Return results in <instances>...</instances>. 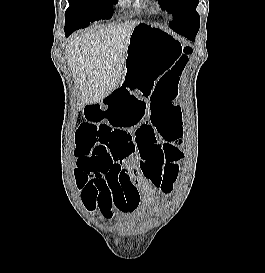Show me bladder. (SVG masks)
<instances>
[{"label":"bladder","mask_w":265,"mask_h":273,"mask_svg":"<svg viewBox=\"0 0 265 273\" xmlns=\"http://www.w3.org/2000/svg\"><path fill=\"white\" fill-rule=\"evenodd\" d=\"M147 224H148V219H147V217H146L144 214H142V213L137 214V215L135 216V219L133 220V225H134V226H137V227H139V226H145V225H147Z\"/></svg>","instance_id":"obj_1"}]
</instances>
